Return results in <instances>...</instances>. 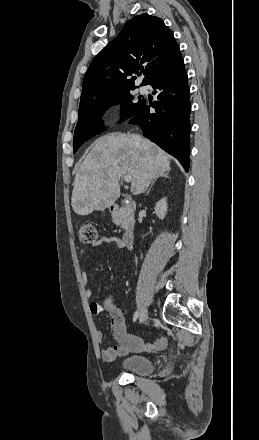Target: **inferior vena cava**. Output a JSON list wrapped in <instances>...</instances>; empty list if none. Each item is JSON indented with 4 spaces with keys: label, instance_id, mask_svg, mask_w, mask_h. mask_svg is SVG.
<instances>
[{
    "label": "inferior vena cava",
    "instance_id": "obj_1",
    "mask_svg": "<svg viewBox=\"0 0 259 440\" xmlns=\"http://www.w3.org/2000/svg\"><path fill=\"white\" fill-rule=\"evenodd\" d=\"M135 138H136L137 141L140 140V136L139 135H135Z\"/></svg>",
    "mask_w": 259,
    "mask_h": 440
}]
</instances>
